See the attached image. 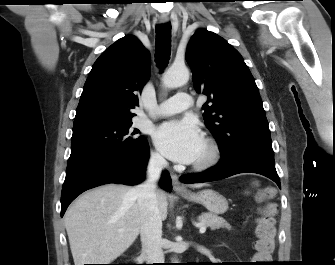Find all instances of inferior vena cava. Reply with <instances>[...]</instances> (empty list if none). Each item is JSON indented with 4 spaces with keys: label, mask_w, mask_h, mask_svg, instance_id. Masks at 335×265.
<instances>
[{
    "label": "inferior vena cava",
    "mask_w": 335,
    "mask_h": 265,
    "mask_svg": "<svg viewBox=\"0 0 335 265\" xmlns=\"http://www.w3.org/2000/svg\"><path fill=\"white\" fill-rule=\"evenodd\" d=\"M167 161L159 154H152L147 167V180L136 186L140 210V236L142 255L148 263H164L162 250V219L160 216L156 185Z\"/></svg>",
    "instance_id": "obj_1"
}]
</instances>
